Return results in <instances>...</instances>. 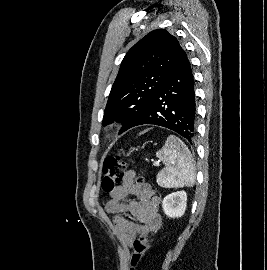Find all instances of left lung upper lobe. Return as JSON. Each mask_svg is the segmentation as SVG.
<instances>
[{"label":"left lung upper lobe","mask_w":267,"mask_h":270,"mask_svg":"<svg viewBox=\"0 0 267 270\" xmlns=\"http://www.w3.org/2000/svg\"><path fill=\"white\" fill-rule=\"evenodd\" d=\"M180 49L178 40L164 29L153 30L137 42L121 63L103 126L122 122L119 134L133 127L164 84Z\"/></svg>","instance_id":"left-lung-upper-lobe-1"}]
</instances>
